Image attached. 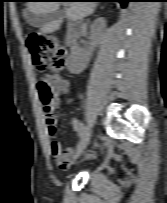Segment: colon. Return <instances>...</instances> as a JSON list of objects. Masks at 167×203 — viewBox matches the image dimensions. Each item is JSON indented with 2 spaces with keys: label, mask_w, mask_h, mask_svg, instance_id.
I'll list each match as a JSON object with an SVG mask.
<instances>
[{
  "label": "colon",
  "mask_w": 167,
  "mask_h": 203,
  "mask_svg": "<svg viewBox=\"0 0 167 203\" xmlns=\"http://www.w3.org/2000/svg\"><path fill=\"white\" fill-rule=\"evenodd\" d=\"M28 50L33 65L40 72L62 71L67 64L66 51L53 38L42 39L31 35L28 40ZM37 90L45 113H50V103L55 99L54 91L47 80H39Z\"/></svg>",
  "instance_id": "5ec220e1"
}]
</instances>
